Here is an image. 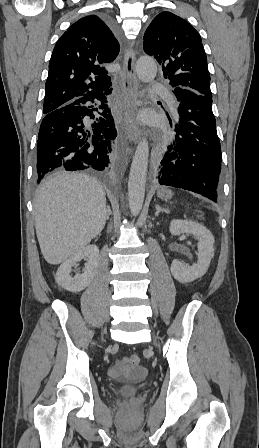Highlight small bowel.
Instances as JSON below:
<instances>
[{
  "label": "small bowel",
  "instance_id": "obj_1",
  "mask_svg": "<svg viewBox=\"0 0 259 448\" xmlns=\"http://www.w3.org/2000/svg\"><path fill=\"white\" fill-rule=\"evenodd\" d=\"M146 368L142 366H131L128 357L118 360L108 371L113 378L139 379L146 375Z\"/></svg>",
  "mask_w": 259,
  "mask_h": 448
}]
</instances>
